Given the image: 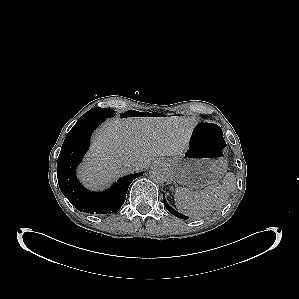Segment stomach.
Segmentation results:
<instances>
[{
	"instance_id": "0dacf381",
	"label": "stomach",
	"mask_w": 299,
	"mask_h": 299,
	"mask_svg": "<svg viewBox=\"0 0 299 299\" xmlns=\"http://www.w3.org/2000/svg\"><path fill=\"white\" fill-rule=\"evenodd\" d=\"M225 145L217 123L198 122L191 132L188 148L169 159L175 180L195 189L216 183L227 170Z\"/></svg>"
}]
</instances>
